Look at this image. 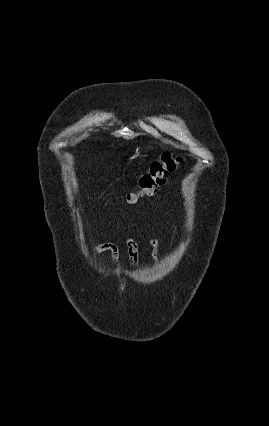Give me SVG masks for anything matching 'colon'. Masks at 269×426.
Wrapping results in <instances>:
<instances>
[{"mask_svg": "<svg viewBox=\"0 0 269 426\" xmlns=\"http://www.w3.org/2000/svg\"><path fill=\"white\" fill-rule=\"evenodd\" d=\"M180 162L181 158L178 156L171 153L162 154L159 160L152 162L148 173L140 177L138 189L127 196L128 202L133 204L142 197L155 194Z\"/></svg>", "mask_w": 269, "mask_h": 426, "instance_id": "5ec220e1", "label": "colon"}]
</instances>
